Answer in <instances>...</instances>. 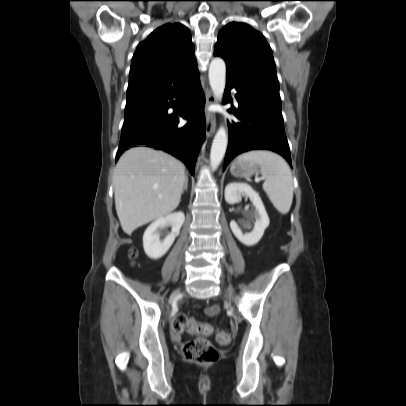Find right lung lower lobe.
I'll use <instances>...</instances> for the list:
<instances>
[{"label": "right lung lower lobe", "instance_id": "right-lung-lower-lobe-1", "mask_svg": "<svg viewBox=\"0 0 406 406\" xmlns=\"http://www.w3.org/2000/svg\"><path fill=\"white\" fill-rule=\"evenodd\" d=\"M174 98L177 100H173ZM158 100L160 109L156 118L122 130L116 158L129 148L145 145L165 151L183 161L194 175L196 158L205 139V99L199 74ZM178 100L181 102L180 109H174L173 114L168 113L170 107L179 106ZM177 115L188 119L187 124L178 126Z\"/></svg>", "mask_w": 406, "mask_h": 406}]
</instances>
